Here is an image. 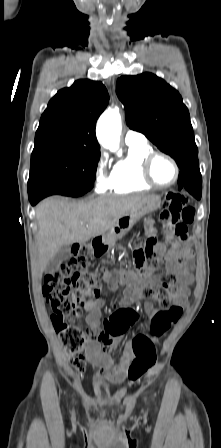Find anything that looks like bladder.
<instances>
[{
	"instance_id": "1",
	"label": "bladder",
	"mask_w": 221,
	"mask_h": 448,
	"mask_svg": "<svg viewBox=\"0 0 221 448\" xmlns=\"http://www.w3.org/2000/svg\"><path fill=\"white\" fill-rule=\"evenodd\" d=\"M91 382L93 386H96L98 388H106L109 386V383L107 381L98 377H93Z\"/></svg>"
}]
</instances>
